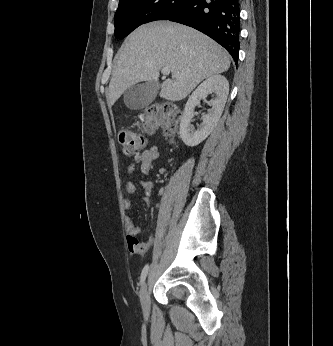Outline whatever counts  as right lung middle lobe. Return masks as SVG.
<instances>
[{"mask_svg":"<svg viewBox=\"0 0 333 346\" xmlns=\"http://www.w3.org/2000/svg\"><path fill=\"white\" fill-rule=\"evenodd\" d=\"M184 0H119L115 13V37L123 39L138 26L166 20Z\"/></svg>","mask_w":333,"mask_h":346,"instance_id":"obj_1","label":"right lung middle lobe"}]
</instances>
